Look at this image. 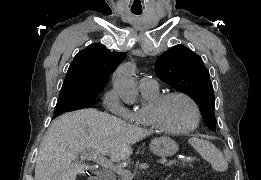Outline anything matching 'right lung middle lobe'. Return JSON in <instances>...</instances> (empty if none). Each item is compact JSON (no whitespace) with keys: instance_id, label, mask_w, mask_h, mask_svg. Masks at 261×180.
<instances>
[{"instance_id":"dd1d6c3e","label":"right lung middle lobe","mask_w":261,"mask_h":180,"mask_svg":"<svg viewBox=\"0 0 261 180\" xmlns=\"http://www.w3.org/2000/svg\"><path fill=\"white\" fill-rule=\"evenodd\" d=\"M102 89L90 88H62L59 101L55 107L54 118L64 112L90 108Z\"/></svg>"}]
</instances>
